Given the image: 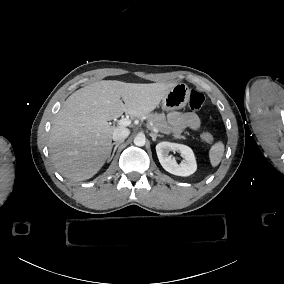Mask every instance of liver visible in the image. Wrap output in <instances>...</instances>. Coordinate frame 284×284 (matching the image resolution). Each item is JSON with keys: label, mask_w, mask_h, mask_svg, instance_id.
<instances>
[{"label": "liver", "mask_w": 284, "mask_h": 284, "mask_svg": "<svg viewBox=\"0 0 284 284\" xmlns=\"http://www.w3.org/2000/svg\"><path fill=\"white\" fill-rule=\"evenodd\" d=\"M176 85L102 80L77 90L51 128L48 146L54 166L74 181L91 178L110 155L115 127L108 121L124 112L134 117L149 114Z\"/></svg>", "instance_id": "liver-1"}]
</instances>
